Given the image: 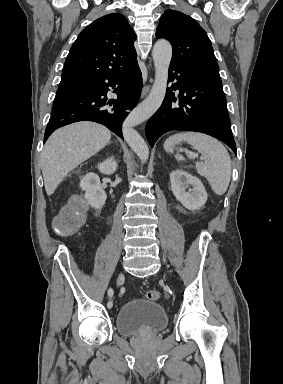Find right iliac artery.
Here are the masks:
<instances>
[{
    "label": "right iliac artery",
    "mask_w": 283,
    "mask_h": 384,
    "mask_svg": "<svg viewBox=\"0 0 283 384\" xmlns=\"http://www.w3.org/2000/svg\"><path fill=\"white\" fill-rule=\"evenodd\" d=\"M108 296H109L110 300L107 303V307L111 308L113 306V303L111 301V298L113 296V289L112 288L108 289Z\"/></svg>",
    "instance_id": "1"
}]
</instances>
